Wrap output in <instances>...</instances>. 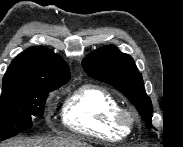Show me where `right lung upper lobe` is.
Instances as JSON below:
<instances>
[{
  "mask_svg": "<svg viewBox=\"0 0 183 147\" xmlns=\"http://www.w3.org/2000/svg\"><path fill=\"white\" fill-rule=\"evenodd\" d=\"M70 78L67 64L51 50L37 46L18 55L8 67L3 87L32 84L60 87Z\"/></svg>",
  "mask_w": 183,
  "mask_h": 147,
  "instance_id": "right-lung-upper-lobe-1",
  "label": "right lung upper lobe"
}]
</instances>
